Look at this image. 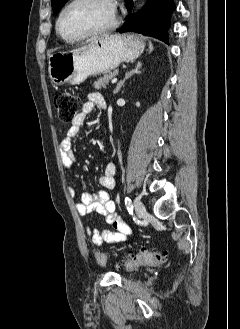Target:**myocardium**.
Wrapping results in <instances>:
<instances>
[{
  "mask_svg": "<svg viewBox=\"0 0 240 329\" xmlns=\"http://www.w3.org/2000/svg\"><path fill=\"white\" fill-rule=\"evenodd\" d=\"M81 1L82 0H71L67 5H65L62 8V10L60 11V13L58 15V18H57V21H56V31L61 36V38L63 40H65L67 42H77V41H81V40H84V39H87V38H90V37H94V36H98V35L108 33L110 31L114 30L115 28H117V26L119 25V22H120V17L117 13V8H116L115 1L114 0H107V2L111 4V6L114 10V13H115L114 19L109 25H107L103 28L85 33V34L77 36V37H68V36H66L62 32V29H61V22H62L63 16L73 5H75V4H77Z\"/></svg>",
  "mask_w": 240,
  "mask_h": 329,
  "instance_id": "1",
  "label": "myocardium"
}]
</instances>
